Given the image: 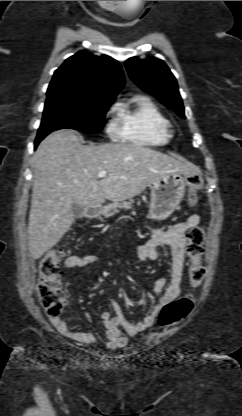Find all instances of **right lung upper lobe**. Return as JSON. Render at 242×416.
Wrapping results in <instances>:
<instances>
[{
    "instance_id": "cb5924a9",
    "label": "right lung upper lobe",
    "mask_w": 242,
    "mask_h": 416,
    "mask_svg": "<svg viewBox=\"0 0 242 416\" xmlns=\"http://www.w3.org/2000/svg\"><path fill=\"white\" fill-rule=\"evenodd\" d=\"M123 86L124 75L117 61L106 55L79 51L54 72L47 98L114 101Z\"/></svg>"
}]
</instances>
